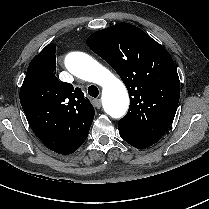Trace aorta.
Masks as SVG:
<instances>
[{"mask_svg":"<svg viewBox=\"0 0 209 209\" xmlns=\"http://www.w3.org/2000/svg\"><path fill=\"white\" fill-rule=\"evenodd\" d=\"M67 69L75 76L103 88V107L112 118L123 117L129 106L124 84L107 68L83 52H71L65 58Z\"/></svg>","mask_w":209,"mask_h":209,"instance_id":"1","label":"aorta"}]
</instances>
